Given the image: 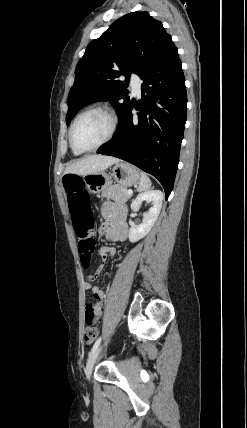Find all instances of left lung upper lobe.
Wrapping results in <instances>:
<instances>
[{
	"label": "left lung upper lobe",
	"instance_id": "obj_1",
	"mask_svg": "<svg viewBox=\"0 0 247 428\" xmlns=\"http://www.w3.org/2000/svg\"><path fill=\"white\" fill-rule=\"evenodd\" d=\"M175 48L162 23L148 12H131L115 21L86 48L76 66L75 82L68 94L66 124L82 107L110 101L118 116L130 102L121 75L141 76L161 56Z\"/></svg>",
	"mask_w": 247,
	"mask_h": 428
}]
</instances>
